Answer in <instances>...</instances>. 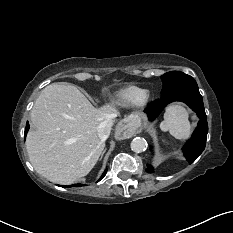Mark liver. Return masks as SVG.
I'll list each match as a JSON object with an SVG mask.
<instances>
[{"label":"liver","mask_w":233,"mask_h":233,"mask_svg":"<svg viewBox=\"0 0 233 233\" xmlns=\"http://www.w3.org/2000/svg\"><path fill=\"white\" fill-rule=\"evenodd\" d=\"M110 114H119L114 105L95 108L73 85L45 87L31 110L34 129L26 138L35 171L62 185L86 176L105 147L98 132Z\"/></svg>","instance_id":"obj_1"}]
</instances>
